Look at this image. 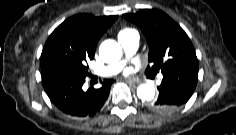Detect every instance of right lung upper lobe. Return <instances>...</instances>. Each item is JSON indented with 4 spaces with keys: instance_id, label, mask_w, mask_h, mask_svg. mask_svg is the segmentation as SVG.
I'll use <instances>...</instances> for the list:
<instances>
[{
    "instance_id": "obj_1",
    "label": "right lung upper lobe",
    "mask_w": 236,
    "mask_h": 135,
    "mask_svg": "<svg viewBox=\"0 0 236 135\" xmlns=\"http://www.w3.org/2000/svg\"><path fill=\"white\" fill-rule=\"evenodd\" d=\"M117 18L118 15L102 17L91 14L74 15L52 32L46 44L62 41L88 52H95L99 38Z\"/></svg>"
}]
</instances>
